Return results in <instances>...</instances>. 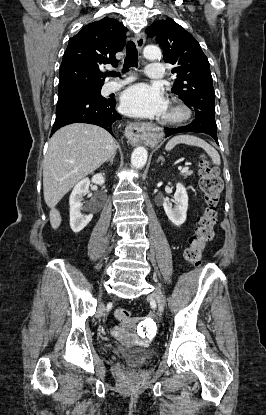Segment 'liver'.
I'll use <instances>...</instances> for the list:
<instances>
[{"label":"liver","instance_id":"obj_1","mask_svg":"<svg viewBox=\"0 0 266 415\" xmlns=\"http://www.w3.org/2000/svg\"><path fill=\"white\" fill-rule=\"evenodd\" d=\"M115 154V139L96 125L75 123L52 136L43 161V192L53 229L61 224L60 213L55 209L57 203Z\"/></svg>","mask_w":266,"mask_h":415}]
</instances>
